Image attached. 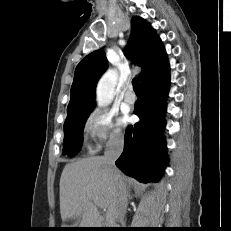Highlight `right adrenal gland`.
I'll use <instances>...</instances> for the list:
<instances>
[{
  "label": "right adrenal gland",
  "mask_w": 231,
  "mask_h": 231,
  "mask_svg": "<svg viewBox=\"0 0 231 231\" xmlns=\"http://www.w3.org/2000/svg\"><path fill=\"white\" fill-rule=\"evenodd\" d=\"M128 196H129V198H131V195H130V193L128 192Z\"/></svg>",
  "instance_id": "right-adrenal-gland-1"
}]
</instances>
